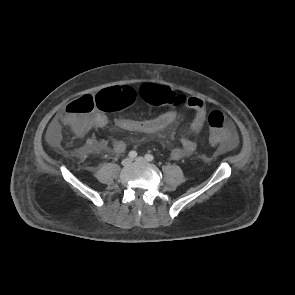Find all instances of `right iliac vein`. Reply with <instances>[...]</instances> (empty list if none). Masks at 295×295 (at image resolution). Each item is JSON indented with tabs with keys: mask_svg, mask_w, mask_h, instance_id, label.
I'll return each instance as SVG.
<instances>
[{
	"mask_svg": "<svg viewBox=\"0 0 295 295\" xmlns=\"http://www.w3.org/2000/svg\"><path fill=\"white\" fill-rule=\"evenodd\" d=\"M131 158H125L122 160V165L123 166H128L131 163Z\"/></svg>",
	"mask_w": 295,
	"mask_h": 295,
	"instance_id": "63e3f726",
	"label": "right iliac vein"
}]
</instances>
